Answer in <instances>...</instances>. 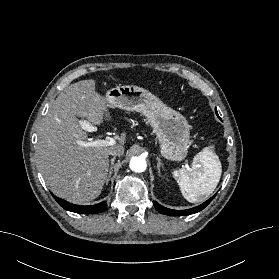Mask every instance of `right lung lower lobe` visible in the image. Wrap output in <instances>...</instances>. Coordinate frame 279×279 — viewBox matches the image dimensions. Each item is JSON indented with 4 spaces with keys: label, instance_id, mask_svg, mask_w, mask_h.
Instances as JSON below:
<instances>
[{
    "label": "right lung lower lobe",
    "instance_id": "98d812e1",
    "mask_svg": "<svg viewBox=\"0 0 279 279\" xmlns=\"http://www.w3.org/2000/svg\"><path fill=\"white\" fill-rule=\"evenodd\" d=\"M54 199L57 201V203L62 206L64 209L75 212V213H80V214H96V213H101L107 208V204L105 201L100 202L96 205H89V206H82V205H75L72 203H68L67 201L60 199L56 196H54Z\"/></svg>",
    "mask_w": 279,
    "mask_h": 279
}]
</instances>
